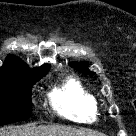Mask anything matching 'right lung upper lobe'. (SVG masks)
Wrapping results in <instances>:
<instances>
[{
  "instance_id": "obj_1",
  "label": "right lung upper lobe",
  "mask_w": 136,
  "mask_h": 136,
  "mask_svg": "<svg viewBox=\"0 0 136 136\" xmlns=\"http://www.w3.org/2000/svg\"><path fill=\"white\" fill-rule=\"evenodd\" d=\"M49 67V65H43L38 68L30 69L22 60L10 55L6 58L4 65L0 67V80L15 77H38L41 74L47 73Z\"/></svg>"
}]
</instances>
